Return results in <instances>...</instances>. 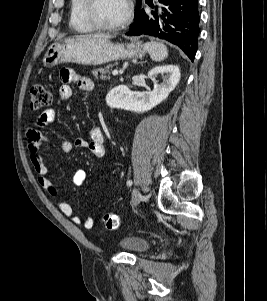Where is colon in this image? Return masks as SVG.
<instances>
[{
    "instance_id": "1",
    "label": "colon",
    "mask_w": 267,
    "mask_h": 301,
    "mask_svg": "<svg viewBox=\"0 0 267 301\" xmlns=\"http://www.w3.org/2000/svg\"><path fill=\"white\" fill-rule=\"evenodd\" d=\"M52 101L51 93L42 85H33L30 89V107L38 110L48 106ZM103 222L108 230H115L119 227L120 219L116 214L106 213Z\"/></svg>"
}]
</instances>
